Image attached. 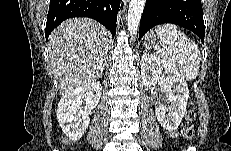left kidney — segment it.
Segmentation results:
<instances>
[{"label": "left kidney", "instance_id": "left-kidney-1", "mask_svg": "<svg viewBox=\"0 0 231 151\" xmlns=\"http://www.w3.org/2000/svg\"><path fill=\"white\" fill-rule=\"evenodd\" d=\"M140 64L144 86L158 84L166 93V104L155 110L157 120L166 130H176L185 116L189 98L185 79L175 68L155 55L143 54Z\"/></svg>", "mask_w": 231, "mask_h": 151}]
</instances>
